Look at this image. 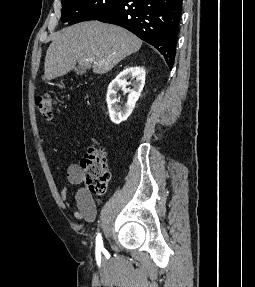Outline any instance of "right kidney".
Listing matches in <instances>:
<instances>
[{
	"instance_id": "right-kidney-1",
	"label": "right kidney",
	"mask_w": 255,
	"mask_h": 287,
	"mask_svg": "<svg viewBox=\"0 0 255 287\" xmlns=\"http://www.w3.org/2000/svg\"><path fill=\"white\" fill-rule=\"evenodd\" d=\"M134 80L133 90H128L126 88L128 82L127 80ZM145 84V70L140 68V66H131V68H125L123 72H120L118 76H116L115 80H112L111 84L108 86L107 92V104L108 110L110 114V120L113 124H121V122H125L127 118H129L130 114H132L133 108H135V104L144 88ZM122 88L124 94H128L127 104L121 108L118 106L117 102V92Z\"/></svg>"
}]
</instances>
